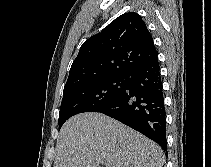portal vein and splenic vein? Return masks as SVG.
I'll return each mask as SVG.
<instances>
[{"mask_svg": "<svg viewBox=\"0 0 211 167\" xmlns=\"http://www.w3.org/2000/svg\"><path fill=\"white\" fill-rule=\"evenodd\" d=\"M103 164L109 167V163L107 161H104Z\"/></svg>", "mask_w": 211, "mask_h": 167, "instance_id": "portal-vein-and-splenic-vein-1", "label": "portal vein and splenic vein"}]
</instances>
